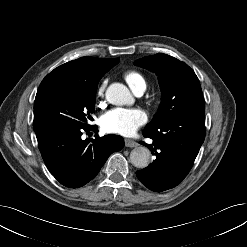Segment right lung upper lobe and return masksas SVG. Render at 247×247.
<instances>
[{"label": "right lung upper lobe", "mask_w": 247, "mask_h": 247, "mask_svg": "<svg viewBox=\"0 0 247 247\" xmlns=\"http://www.w3.org/2000/svg\"><path fill=\"white\" fill-rule=\"evenodd\" d=\"M118 62L119 58L81 57L55 68L43 79L40 86L51 83H67L97 88L104 73Z\"/></svg>", "instance_id": "cb5924a9"}]
</instances>
